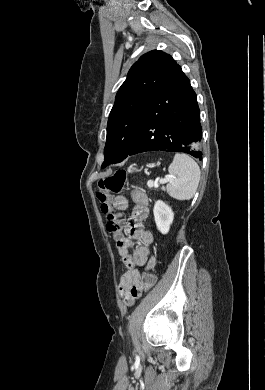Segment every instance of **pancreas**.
Returning <instances> with one entry per match:
<instances>
[{
    "instance_id": "pancreas-1",
    "label": "pancreas",
    "mask_w": 265,
    "mask_h": 390,
    "mask_svg": "<svg viewBox=\"0 0 265 390\" xmlns=\"http://www.w3.org/2000/svg\"><path fill=\"white\" fill-rule=\"evenodd\" d=\"M147 185H148V183H147ZM148 187H149V188H152L153 186L148 185Z\"/></svg>"
}]
</instances>
